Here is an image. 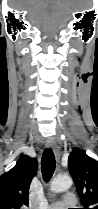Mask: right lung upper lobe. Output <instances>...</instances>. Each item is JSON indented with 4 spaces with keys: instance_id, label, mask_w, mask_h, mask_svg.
<instances>
[{
    "instance_id": "obj_1",
    "label": "right lung upper lobe",
    "mask_w": 98,
    "mask_h": 209,
    "mask_svg": "<svg viewBox=\"0 0 98 209\" xmlns=\"http://www.w3.org/2000/svg\"><path fill=\"white\" fill-rule=\"evenodd\" d=\"M38 163L22 155L16 165L0 176V209H24L28 206L29 187Z\"/></svg>"
}]
</instances>
